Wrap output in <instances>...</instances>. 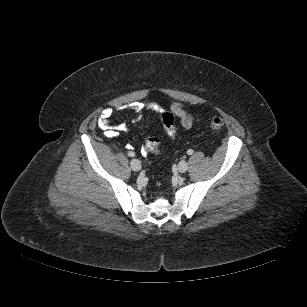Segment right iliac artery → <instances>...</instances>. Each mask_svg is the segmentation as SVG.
Listing matches in <instances>:
<instances>
[{
	"label": "right iliac artery",
	"instance_id": "1",
	"mask_svg": "<svg viewBox=\"0 0 307 307\" xmlns=\"http://www.w3.org/2000/svg\"><path fill=\"white\" fill-rule=\"evenodd\" d=\"M128 155L131 156V157L135 156V154L133 152H129Z\"/></svg>",
	"mask_w": 307,
	"mask_h": 307
}]
</instances>
